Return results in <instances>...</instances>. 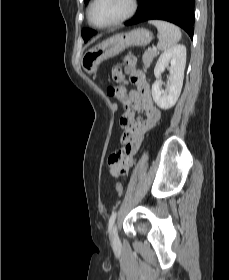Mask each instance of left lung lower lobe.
Returning <instances> with one entry per match:
<instances>
[{
  "instance_id": "1",
  "label": "left lung lower lobe",
  "mask_w": 229,
  "mask_h": 280,
  "mask_svg": "<svg viewBox=\"0 0 229 280\" xmlns=\"http://www.w3.org/2000/svg\"><path fill=\"white\" fill-rule=\"evenodd\" d=\"M195 0H140L137 14L126 25L159 19L174 23L193 37Z\"/></svg>"
}]
</instances>
